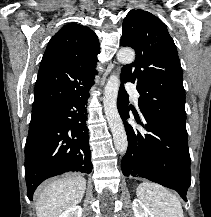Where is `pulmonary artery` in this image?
Here are the masks:
<instances>
[{"label":"pulmonary artery","mask_w":211,"mask_h":217,"mask_svg":"<svg viewBox=\"0 0 211 217\" xmlns=\"http://www.w3.org/2000/svg\"><path fill=\"white\" fill-rule=\"evenodd\" d=\"M125 87H126V90L133 96L136 103H138L139 93H138L135 85H133L131 83H127Z\"/></svg>","instance_id":"e3ab8cb5"}]
</instances>
